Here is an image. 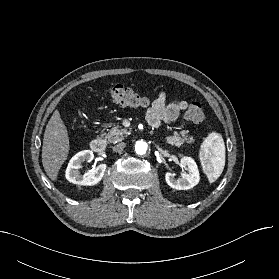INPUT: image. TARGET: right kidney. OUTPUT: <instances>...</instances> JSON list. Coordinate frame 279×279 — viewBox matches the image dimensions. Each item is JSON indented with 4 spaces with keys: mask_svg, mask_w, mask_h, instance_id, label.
<instances>
[{
    "mask_svg": "<svg viewBox=\"0 0 279 279\" xmlns=\"http://www.w3.org/2000/svg\"><path fill=\"white\" fill-rule=\"evenodd\" d=\"M94 154L91 150L80 151L75 154L69 161L66 169V179L74 184L83 186H93L98 184L104 176L106 164H100L95 169L81 174L79 169L84 161H92Z\"/></svg>",
    "mask_w": 279,
    "mask_h": 279,
    "instance_id": "right-kidney-1",
    "label": "right kidney"
}]
</instances>
